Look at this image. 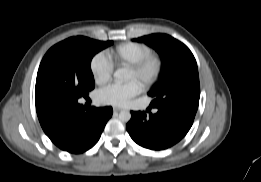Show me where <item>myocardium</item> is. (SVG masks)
<instances>
[{
	"label": "myocardium",
	"instance_id": "f54148a6",
	"mask_svg": "<svg viewBox=\"0 0 261 182\" xmlns=\"http://www.w3.org/2000/svg\"><path fill=\"white\" fill-rule=\"evenodd\" d=\"M129 70L135 72L144 88L153 85L161 75L162 61L159 57L151 54L142 60L128 66Z\"/></svg>",
	"mask_w": 261,
	"mask_h": 182
}]
</instances>
